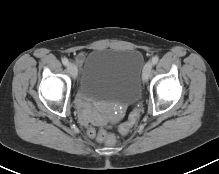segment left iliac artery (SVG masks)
I'll list each match as a JSON object with an SVG mask.
<instances>
[{
	"label": "left iliac artery",
	"mask_w": 219,
	"mask_h": 174,
	"mask_svg": "<svg viewBox=\"0 0 219 174\" xmlns=\"http://www.w3.org/2000/svg\"><path fill=\"white\" fill-rule=\"evenodd\" d=\"M159 61V57L158 56H154L153 58H152V63L155 65V64H157V62Z\"/></svg>",
	"instance_id": "44dca946"
}]
</instances>
